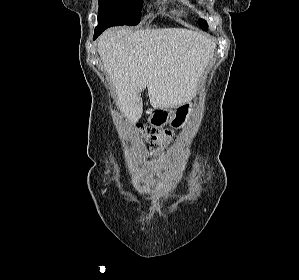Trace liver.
<instances>
[{"label":"liver","instance_id":"6515ba94","mask_svg":"<svg viewBox=\"0 0 299 280\" xmlns=\"http://www.w3.org/2000/svg\"><path fill=\"white\" fill-rule=\"evenodd\" d=\"M216 45L182 28L108 29L98 41L103 69L117 93L116 105L135 124L142 116L141 92L154 108H175L197 93Z\"/></svg>","mask_w":299,"mask_h":280}]
</instances>
